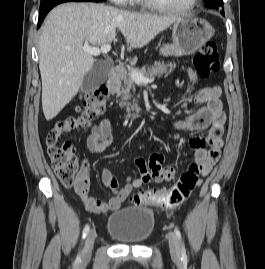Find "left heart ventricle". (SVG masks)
<instances>
[{
	"instance_id": "left-heart-ventricle-1",
	"label": "left heart ventricle",
	"mask_w": 265,
	"mask_h": 269,
	"mask_svg": "<svg viewBox=\"0 0 265 269\" xmlns=\"http://www.w3.org/2000/svg\"><path fill=\"white\" fill-rule=\"evenodd\" d=\"M159 1L169 6L182 8L188 6L192 0H159Z\"/></svg>"
}]
</instances>
